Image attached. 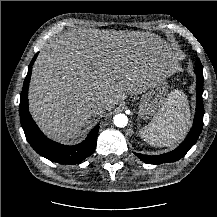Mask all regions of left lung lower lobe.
Segmentation results:
<instances>
[{
    "label": "left lung lower lobe",
    "mask_w": 217,
    "mask_h": 217,
    "mask_svg": "<svg viewBox=\"0 0 217 217\" xmlns=\"http://www.w3.org/2000/svg\"><path fill=\"white\" fill-rule=\"evenodd\" d=\"M196 115L194 119V124L189 132L186 139L180 144L178 148L175 150L158 156H148V155H138V157L148 163V164H160V163H167V162H174L182 158L188 150L195 144L197 141L203 125V115H204V108H203V75L198 74L196 71Z\"/></svg>",
    "instance_id": "1"
}]
</instances>
